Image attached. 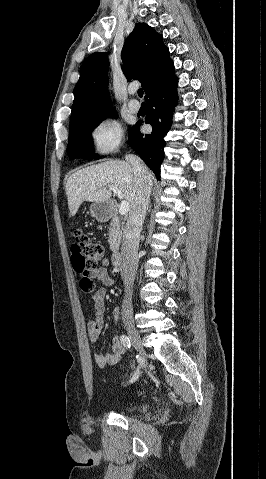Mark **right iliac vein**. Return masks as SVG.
<instances>
[{
    "mask_svg": "<svg viewBox=\"0 0 266 479\" xmlns=\"http://www.w3.org/2000/svg\"><path fill=\"white\" fill-rule=\"evenodd\" d=\"M126 330L128 333V336L135 347V349L142 355L145 356L146 352L143 347V342L141 340L140 334L137 331V329L134 327L133 324L129 323L126 324Z\"/></svg>",
    "mask_w": 266,
    "mask_h": 479,
    "instance_id": "1",
    "label": "right iliac vein"
}]
</instances>
